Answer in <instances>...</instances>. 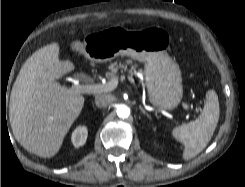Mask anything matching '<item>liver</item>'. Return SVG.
I'll return each mask as SVG.
<instances>
[{"instance_id": "liver-1", "label": "liver", "mask_w": 245, "mask_h": 187, "mask_svg": "<svg viewBox=\"0 0 245 187\" xmlns=\"http://www.w3.org/2000/svg\"><path fill=\"white\" fill-rule=\"evenodd\" d=\"M58 43L34 52L13 84L9 117L13 135L24 149L43 158L60 150L64 137L79 116L84 97L57 79L75 69L60 60Z\"/></svg>"}]
</instances>
